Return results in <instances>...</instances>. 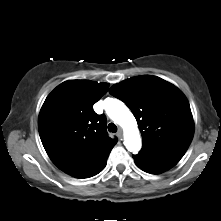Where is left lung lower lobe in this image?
<instances>
[{"label": "left lung lower lobe", "mask_w": 221, "mask_h": 221, "mask_svg": "<svg viewBox=\"0 0 221 221\" xmlns=\"http://www.w3.org/2000/svg\"><path fill=\"white\" fill-rule=\"evenodd\" d=\"M184 154H168L161 156H153L139 153L134 155V161L139 168L143 171L159 174L166 170H169L174 165H176Z\"/></svg>", "instance_id": "obj_1"}]
</instances>
